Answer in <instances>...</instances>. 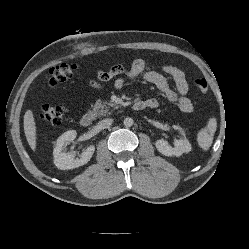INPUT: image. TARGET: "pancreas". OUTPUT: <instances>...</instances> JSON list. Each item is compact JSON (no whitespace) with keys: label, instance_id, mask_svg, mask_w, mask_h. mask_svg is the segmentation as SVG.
Here are the masks:
<instances>
[{"label":"pancreas","instance_id":"obj_1","mask_svg":"<svg viewBox=\"0 0 249 249\" xmlns=\"http://www.w3.org/2000/svg\"><path fill=\"white\" fill-rule=\"evenodd\" d=\"M110 107H112L113 111L116 107L112 102H102L101 100H97L93 106L92 115L94 117L97 116H105L106 114H111Z\"/></svg>","mask_w":249,"mask_h":249}]
</instances>
